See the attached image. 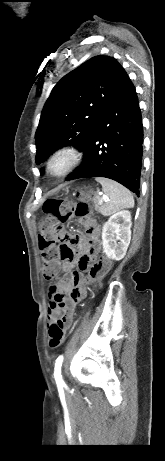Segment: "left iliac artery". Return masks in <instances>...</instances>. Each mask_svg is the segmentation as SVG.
<instances>
[{"label": "left iliac artery", "instance_id": "left-iliac-artery-1", "mask_svg": "<svg viewBox=\"0 0 165 461\" xmlns=\"http://www.w3.org/2000/svg\"><path fill=\"white\" fill-rule=\"evenodd\" d=\"M62 361H63V356H59L57 358V360H56V363H55L54 376H55V380H56L57 385H63L64 384V381L62 380V376H61Z\"/></svg>", "mask_w": 165, "mask_h": 461}]
</instances>
